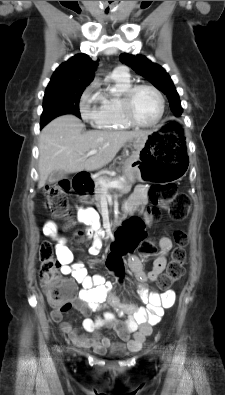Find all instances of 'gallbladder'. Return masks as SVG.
<instances>
[{
    "label": "gallbladder",
    "instance_id": "1",
    "mask_svg": "<svg viewBox=\"0 0 225 395\" xmlns=\"http://www.w3.org/2000/svg\"><path fill=\"white\" fill-rule=\"evenodd\" d=\"M64 177H65V173L64 172L56 171V172H53V173H51L49 175V177L47 179V182L49 184H53V183H56V182L62 180Z\"/></svg>",
    "mask_w": 225,
    "mask_h": 395
}]
</instances>
